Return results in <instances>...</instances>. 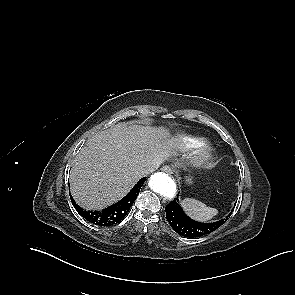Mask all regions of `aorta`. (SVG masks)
Instances as JSON below:
<instances>
[{
  "mask_svg": "<svg viewBox=\"0 0 295 295\" xmlns=\"http://www.w3.org/2000/svg\"><path fill=\"white\" fill-rule=\"evenodd\" d=\"M149 187L156 193L166 198H174L177 193L175 180L168 174L154 173L149 180Z\"/></svg>",
  "mask_w": 295,
  "mask_h": 295,
  "instance_id": "obj_1",
  "label": "aorta"
}]
</instances>
